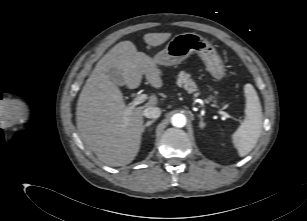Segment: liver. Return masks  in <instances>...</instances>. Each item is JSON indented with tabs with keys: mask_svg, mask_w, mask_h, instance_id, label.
<instances>
[{
	"mask_svg": "<svg viewBox=\"0 0 307 221\" xmlns=\"http://www.w3.org/2000/svg\"><path fill=\"white\" fill-rule=\"evenodd\" d=\"M170 33H148L143 39L153 47L163 44ZM120 71L129 89L137 88L143 75L153 87L162 86V72L148 55L138 52L131 41L116 44L96 64L78 99L76 122L79 135L100 161L108 166H125L139 152L143 128V111L158 103L152 94L146 104L127 114L121 90L108 75Z\"/></svg>",
	"mask_w": 307,
	"mask_h": 221,
	"instance_id": "6515ba94",
	"label": "liver"
}]
</instances>
